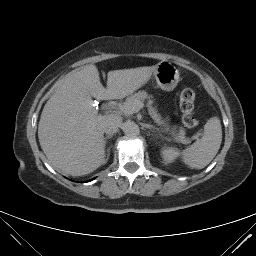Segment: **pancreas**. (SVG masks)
Listing matches in <instances>:
<instances>
[{
	"instance_id": "obj_1",
	"label": "pancreas",
	"mask_w": 256,
	"mask_h": 256,
	"mask_svg": "<svg viewBox=\"0 0 256 256\" xmlns=\"http://www.w3.org/2000/svg\"><path fill=\"white\" fill-rule=\"evenodd\" d=\"M150 99V96H148V94L145 91H139L138 93H135L133 95H130L129 97H127L126 101L121 104L123 106L126 107H130L132 106L134 103L136 102H141L143 104V100L145 99ZM121 111V110H120ZM126 115H129L131 113H127L126 111H121ZM165 132H170V134L172 136H174L176 139H178L179 141H181L184 144H189L191 142L190 138H187L186 135V131L183 127H177V126H172V127H166L164 129ZM194 139V138H192Z\"/></svg>"
}]
</instances>
